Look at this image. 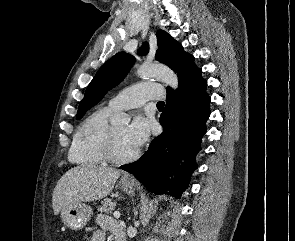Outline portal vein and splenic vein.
<instances>
[{
    "instance_id": "obj_1",
    "label": "portal vein and splenic vein",
    "mask_w": 295,
    "mask_h": 241,
    "mask_svg": "<svg viewBox=\"0 0 295 241\" xmlns=\"http://www.w3.org/2000/svg\"><path fill=\"white\" fill-rule=\"evenodd\" d=\"M113 216H114L115 218H119V217H120V213H119L118 211H115V212L113 213Z\"/></svg>"
}]
</instances>
